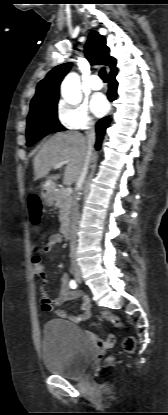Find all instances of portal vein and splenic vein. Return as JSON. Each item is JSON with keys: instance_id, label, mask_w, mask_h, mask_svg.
Returning <instances> with one entry per match:
<instances>
[{"instance_id": "obj_1", "label": "portal vein and splenic vein", "mask_w": 168, "mask_h": 415, "mask_svg": "<svg viewBox=\"0 0 168 415\" xmlns=\"http://www.w3.org/2000/svg\"><path fill=\"white\" fill-rule=\"evenodd\" d=\"M68 163H69L68 161H60V162H57V163L54 164V168H59V167L65 165V164H68ZM65 192H66V194L70 195L72 193V188L71 187H67L65 189Z\"/></svg>"}]
</instances>
